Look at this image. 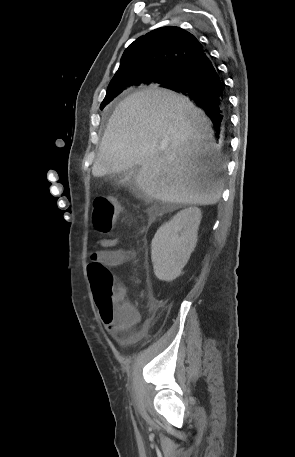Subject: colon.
<instances>
[{
    "instance_id": "obj_1",
    "label": "colon",
    "mask_w": 295,
    "mask_h": 457,
    "mask_svg": "<svg viewBox=\"0 0 295 457\" xmlns=\"http://www.w3.org/2000/svg\"><path fill=\"white\" fill-rule=\"evenodd\" d=\"M120 208L110 196L97 197L91 215L92 228L107 233L112 228ZM88 277L96 305L103 320L109 321L122 317L127 311V293L117 284L110 270L102 263L91 261L87 267Z\"/></svg>"
}]
</instances>
